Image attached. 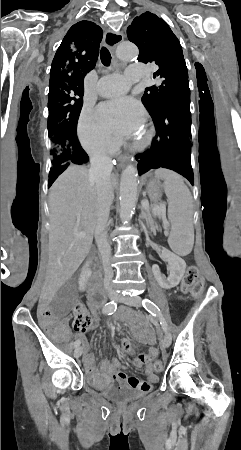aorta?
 I'll return each instance as SVG.
<instances>
[{
    "label": "aorta",
    "instance_id": "aorta-1",
    "mask_svg": "<svg viewBox=\"0 0 241 450\" xmlns=\"http://www.w3.org/2000/svg\"><path fill=\"white\" fill-rule=\"evenodd\" d=\"M138 48L132 43H122L117 47V57L120 60H130L137 57ZM138 191V174L133 165H128L121 174L120 181V219L128 224L133 215Z\"/></svg>",
    "mask_w": 241,
    "mask_h": 450
}]
</instances>
